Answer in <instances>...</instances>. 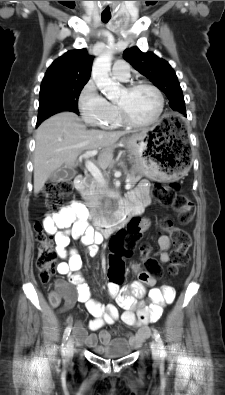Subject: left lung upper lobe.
<instances>
[{"instance_id": "obj_1", "label": "left lung upper lobe", "mask_w": 225, "mask_h": 395, "mask_svg": "<svg viewBox=\"0 0 225 395\" xmlns=\"http://www.w3.org/2000/svg\"><path fill=\"white\" fill-rule=\"evenodd\" d=\"M123 56L134 69L146 76L170 100V107L186 115L185 101L177 76L169 63L153 52H142L138 47L126 49Z\"/></svg>"}]
</instances>
